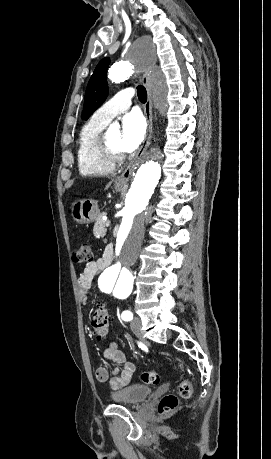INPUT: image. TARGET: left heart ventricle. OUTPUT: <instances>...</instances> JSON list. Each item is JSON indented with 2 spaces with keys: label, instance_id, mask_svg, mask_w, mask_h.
Returning a JSON list of instances; mask_svg holds the SVG:
<instances>
[{
  "label": "left heart ventricle",
  "instance_id": "1",
  "mask_svg": "<svg viewBox=\"0 0 271 459\" xmlns=\"http://www.w3.org/2000/svg\"><path fill=\"white\" fill-rule=\"evenodd\" d=\"M107 140L113 148L124 150L122 141V131L120 129L107 132Z\"/></svg>",
  "mask_w": 271,
  "mask_h": 459
}]
</instances>
